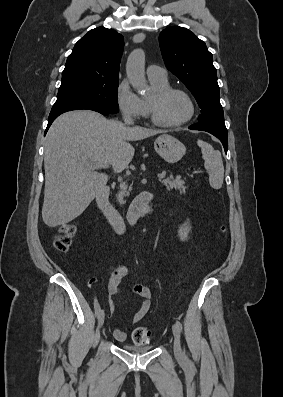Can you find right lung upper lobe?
<instances>
[{"label":"right lung upper lobe","mask_w":283,"mask_h":397,"mask_svg":"<svg viewBox=\"0 0 283 397\" xmlns=\"http://www.w3.org/2000/svg\"><path fill=\"white\" fill-rule=\"evenodd\" d=\"M124 38L113 29L90 30L74 46L64 73H79L103 78H119Z\"/></svg>","instance_id":"1"}]
</instances>
